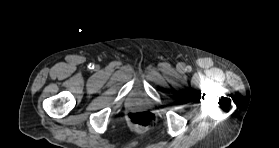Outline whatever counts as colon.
<instances>
[{
	"instance_id": "colon-1",
	"label": "colon",
	"mask_w": 279,
	"mask_h": 148,
	"mask_svg": "<svg viewBox=\"0 0 279 148\" xmlns=\"http://www.w3.org/2000/svg\"><path fill=\"white\" fill-rule=\"evenodd\" d=\"M130 123L139 128H149L155 122V116L148 111L133 112L128 115Z\"/></svg>"
}]
</instances>
